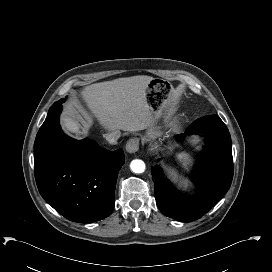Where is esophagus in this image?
Segmentation results:
<instances>
[{
	"instance_id": "esophagus-1",
	"label": "esophagus",
	"mask_w": 272,
	"mask_h": 272,
	"mask_svg": "<svg viewBox=\"0 0 272 272\" xmlns=\"http://www.w3.org/2000/svg\"><path fill=\"white\" fill-rule=\"evenodd\" d=\"M139 149V138H132L126 143V151L128 153H135Z\"/></svg>"
}]
</instances>
